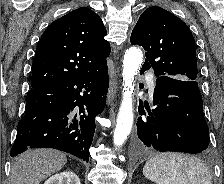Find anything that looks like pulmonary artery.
Wrapping results in <instances>:
<instances>
[{
  "mask_svg": "<svg viewBox=\"0 0 224 184\" xmlns=\"http://www.w3.org/2000/svg\"><path fill=\"white\" fill-rule=\"evenodd\" d=\"M148 87H149L150 92H153L154 88H155V83L154 82H150Z\"/></svg>",
  "mask_w": 224,
  "mask_h": 184,
  "instance_id": "e3ab8cb5",
  "label": "pulmonary artery"
}]
</instances>
